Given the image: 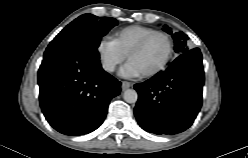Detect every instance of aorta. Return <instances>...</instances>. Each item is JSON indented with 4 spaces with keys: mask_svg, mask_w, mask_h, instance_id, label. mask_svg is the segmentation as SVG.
<instances>
[{
    "mask_svg": "<svg viewBox=\"0 0 248 158\" xmlns=\"http://www.w3.org/2000/svg\"><path fill=\"white\" fill-rule=\"evenodd\" d=\"M123 98L127 103H136L138 94L134 89H127L123 94Z\"/></svg>",
    "mask_w": 248,
    "mask_h": 158,
    "instance_id": "obj_1",
    "label": "aorta"
}]
</instances>
